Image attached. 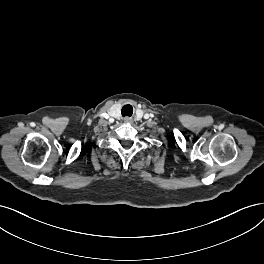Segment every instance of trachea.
<instances>
[{
	"instance_id": "3493384b",
	"label": "trachea",
	"mask_w": 264,
	"mask_h": 264,
	"mask_svg": "<svg viewBox=\"0 0 264 264\" xmlns=\"http://www.w3.org/2000/svg\"><path fill=\"white\" fill-rule=\"evenodd\" d=\"M132 112H133V108L131 105H125L123 108H122V115L123 116H131L132 115Z\"/></svg>"
}]
</instances>
